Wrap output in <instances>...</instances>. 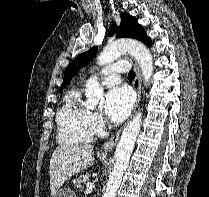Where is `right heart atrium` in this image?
Listing matches in <instances>:
<instances>
[{"label": "right heart atrium", "instance_id": "obj_1", "mask_svg": "<svg viewBox=\"0 0 209 197\" xmlns=\"http://www.w3.org/2000/svg\"><path fill=\"white\" fill-rule=\"evenodd\" d=\"M91 126L95 133H99L102 131L104 127V119L102 115L98 112H91Z\"/></svg>", "mask_w": 209, "mask_h": 197}]
</instances>
